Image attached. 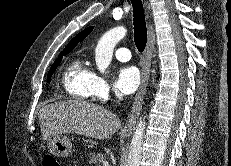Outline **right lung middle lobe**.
<instances>
[{
    "label": "right lung middle lobe",
    "mask_w": 231,
    "mask_h": 166,
    "mask_svg": "<svg viewBox=\"0 0 231 166\" xmlns=\"http://www.w3.org/2000/svg\"><path fill=\"white\" fill-rule=\"evenodd\" d=\"M68 53H61L59 54L58 58L55 60V62L53 63V65L51 66L49 72H48V75H47V80L48 82H50L51 80V77L53 75V73L55 72L57 66L61 63V60H62V57L64 55H67Z\"/></svg>",
    "instance_id": "right-lung-middle-lobe-1"
}]
</instances>
